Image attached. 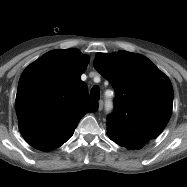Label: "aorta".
I'll use <instances>...</instances> for the list:
<instances>
[{"label": "aorta", "mask_w": 187, "mask_h": 187, "mask_svg": "<svg viewBox=\"0 0 187 187\" xmlns=\"http://www.w3.org/2000/svg\"><path fill=\"white\" fill-rule=\"evenodd\" d=\"M106 108H107V110H110L112 108V105L110 103H107Z\"/></svg>", "instance_id": "1"}]
</instances>
